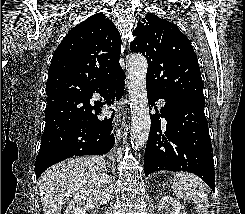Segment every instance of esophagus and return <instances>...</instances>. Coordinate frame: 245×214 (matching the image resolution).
<instances>
[{
  "instance_id": "obj_1",
  "label": "esophagus",
  "mask_w": 245,
  "mask_h": 214,
  "mask_svg": "<svg viewBox=\"0 0 245 214\" xmlns=\"http://www.w3.org/2000/svg\"><path fill=\"white\" fill-rule=\"evenodd\" d=\"M122 103L126 104L127 100L124 99ZM123 123H124V118L121 117V115H120L117 119V123L115 124L114 131H113L116 142L120 141V139H121Z\"/></svg>"
}]
</instances>
